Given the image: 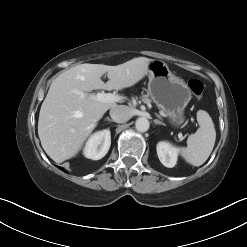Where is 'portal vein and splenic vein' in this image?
<instances>
[{"label":"portal vein and splenic vein","mask_w":247,"mask_h":247,"mask_svg":"<svg viewBox=\"0 0 247 247\" xmlns=\"http://www.w3.org/2000/svg\"><path fill=\"white\" fill-rule=\"evenodd\" d=\"M94 99L103 103H114L121 100V98L114 93H97L96 95H91ZM180 140H183L182 134L179 136Z\"/></svg>","instance_id":"portal-vein-and-splenic-vein-1"}]
</instances>
